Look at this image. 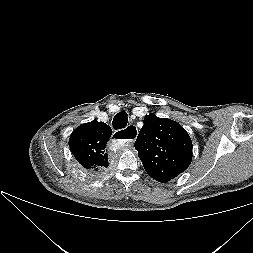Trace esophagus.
<instances>
[{
    "mask_svg": "<svg viewBox=\"0 0 253 253\" xmlns=\"http://www.w3.org/2000/svg\"><path fill=\"white\" fill-rule=\"evenodd\" d=\"M138 134L135 125H128L125 129L114 132L113 138L126 145L133 142Z\"/></svg>",
    "mask_w": 253,
    "mask_h": 253,
    "instance_id": "34e87169",
    "label": "esophagus"
}]
</instances>
